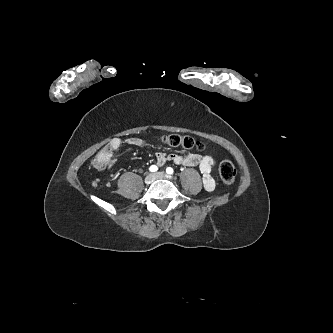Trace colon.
<instances>
[{
	"mask_svg": "<svg viewBox=\"0 0 333 333\" xmlns=\"http://www.w3.org/2000/svg\"><path fill=\"white\" fill-rule=\"evenodd\" d=\"M162 141L172 147H181L184 149H194L198 151H202L204 149L203 143L187 135L169 134L164 136ZM92 163L94 167L99 169L106 165L103 160L97 158H95ZM219 174L223 183L229 186L235 180L236 168L231 161L223 160L219 164Z\"/></svg>",
	"mask_w": 333,
	"mask_h": 333,
	"instance_id": "obj_1",
	"label": "colon"
}]
</instances>
